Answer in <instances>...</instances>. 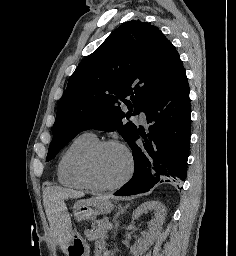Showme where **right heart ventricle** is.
I'll return each mask as SVG.
<instances>
[{
  "instance_id": "right-heart-ventricle-1",
  "label": "right heart ventricle",
  "mask_w": 236,
  "mask_h": 256,
  "mask_svg": "<svg viewBox=\"0 0 236 256\" xmlns=\"http://www.w3.org/2000/svg\"><path fill=\"white\" fill-rule=\"evenodd\" d=\"M98 142L95 135H78L61 155L57 165L58 182L68 188L87 189L81 176V165L85 155Z\"/></svg>"
}]
</instances>
